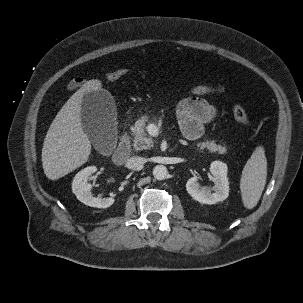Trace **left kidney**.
Segmentation results:
<instances>
[{
	"mask_svg": "<svg viewBox=\"0 0 303 303\" xmlns=\"http://www.w3.org/2000/svg\"><path fill=\"white\" fill-rule=\"evenodd\" d=\"M210 172L215 183L213 193L209 188L200 186L198 176L190 178L186 183V190L191 197L203 204H215L225 200L229 195L227 165L221 161H214L211 163Z\"/></svg>",
	"mask_w": 303,
	"mask_h": 303,
	"instance_id": "obj_1",
	"label": "left kidney"
}]
</instances>
